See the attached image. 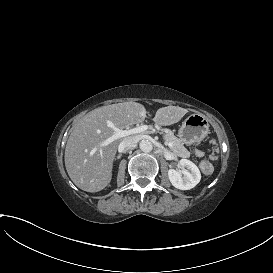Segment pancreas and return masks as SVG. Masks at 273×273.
Instances as JSON below:
<instances>
[{"mask_svg": "<svg viewBox=\"0 0 273 273\" xmlns=\"http://www.w3.org/2000/svg\"><path fill=\"white\" fill-rule=\"evenodd\" d=\"M163 140L174 144L173 148L169 147L166 151H171L174 153V155L182 158L190 157V152L183 146L180 140L173 135L171 131L165 130V136L163 137Z\"/></svg>", "mask_w": 273, "mask_h": 273, "instance_id": "pancreas-1", "label": "pancreas"}]
</instances>
